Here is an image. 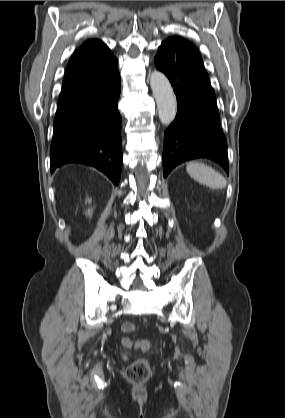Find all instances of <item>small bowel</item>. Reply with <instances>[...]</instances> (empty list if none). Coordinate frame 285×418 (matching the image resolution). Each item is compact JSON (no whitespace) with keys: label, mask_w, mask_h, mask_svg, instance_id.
<instances>
[{"label":"small bowel","mask_w":285,"mask_h":418,"mask_svg":"<svg viewBox=\"0 0 285 418\" xmlns=\"http://www.w3.org/2000/svg\"><path fill=\"white\" fill-rule=\"evenodd\" d=\"M123 344V343H122ZM131 345H132V343L130 342L129 343V345H124L126 348H129V347H131ZM134 347L136 348V349H139V342H137V343H135L134 344Z\"/></svg>","instance_id":"1"}]
</instances>
